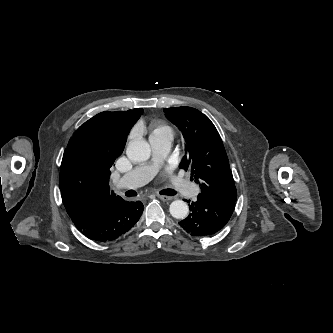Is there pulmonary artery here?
<instances>
[{"mask_svg":"<svg viewBox=\"0 0 333 333\" xmlns=\"http://www.w3.org/2000/svg\"><path fill=\"white\" fill-rule=\"evenodd\" d=\"M149 142L152 149L151 160L135 167L122 176L115 184L117 189H134L149 182L166 159L172 146L173 136L167 134L151 135ZM173 186L183 194L197 190V188L188 181L178 178L173 179Z\"/></svg>","mask_w":333,"mask_h":333,"instance_id":"obj_1","label":"pulmonary artery"}]
</instances>
